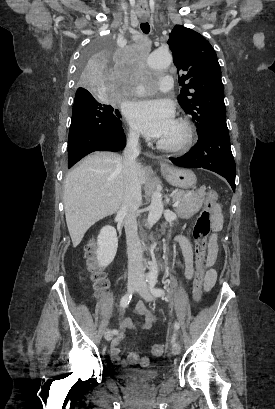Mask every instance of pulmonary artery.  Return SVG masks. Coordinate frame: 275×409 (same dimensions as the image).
I'll use <instances>...</instances> for the list:
<instances>
[{
  "label": "pulmonary artery",
  "instance_id": "1",
  "mask_svg": "<svg viewBox=\"0 0 275 409\" xmlns=\"http://www.w3.org/2000/svg\"><path fill=\"white\" fill-rule=\"evenodd\" d=\"M158 86L159 88H162L164 94H173L175 91L173 77L169 74L166 75L164 79H159ZM149 91V87L138 86L137 90H135V93H138L139 96H143L144 93H147Z\"/></svg>",
  "mask_w": 275,
  "mask_h": 409
}]
</instances>
